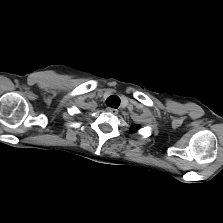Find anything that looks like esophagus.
Listing matches in <instances>:
<instances>
[{"label": "esophagus", "mask_w": 223, "mask_h": 223, "mask_svg": "<svg viewBox=\"0 0 223 223\" xmlns=\"http://www.w3.org/2000/svg\"><path fill=\"white\" fill-rule=\"evenodd\" d=\"M107 111L115 115L118 114V110L115 108L107 107Z\"/></svg>", "instance_id": "1"}]
</instances>
